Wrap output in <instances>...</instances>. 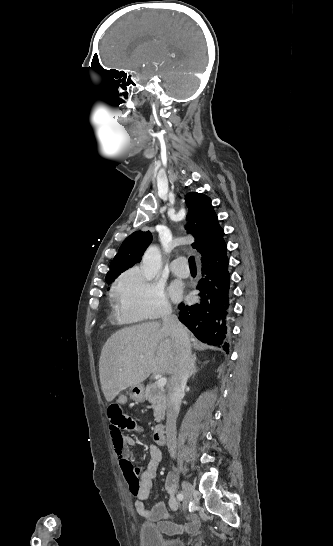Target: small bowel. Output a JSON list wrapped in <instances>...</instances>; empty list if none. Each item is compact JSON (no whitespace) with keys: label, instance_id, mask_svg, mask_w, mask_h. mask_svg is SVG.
<instances>
[{"label":"small bowel","instance_id":"1","mask_svg":"<svg viewBox=\"0 0 333 546\" xmlns=\"http://www.w3.org/2000/svg\"><path fill=\"white\" fill-rule=\"evenodd\" d=\"M118 400L122 404L126 402V394L121 392ZM110 435L112 446L119 462L121 472L129 485L130 491L134 497V507L136 512L150 521L159 522L160 529L166 534H175L183 531L192 532L197 529L199 522L195 517L189 524L181 526L175 524L172 519L174 512L178 508V502L171 498L168 502V509L164 502L156 503L152 508L145 507V500L148 498L156 477L157 467L162 459L160 449L156 445L150 446V461L144 467L140 477L139 471L134 467L129 459V448L134 445L135 439L124 432L127 429H134L133 422L125 418H109ZM171 485V481L168 482Z\"/></svg>","mask_w":333,"mask_h":546}]
</instances>
